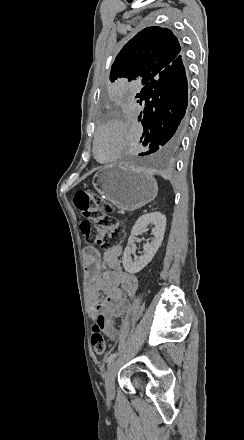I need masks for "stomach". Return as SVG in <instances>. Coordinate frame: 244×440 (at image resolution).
Segmentation results:
<instances>
[{"mask_svg": "<svg viewBox=\"0 0 244 440\" xmlns=\"http://www.w3.org/2000/svg\"><path fill=\"white\" fill-rule=\"evenodd\" d=\"M92 186L101 198L127 212L146 206L158 194L157 182L147 170H133L119 164L103 166L94 174Z\"/></svg>", "mask_w": 244, "mask_h": 440, "instance_id": "obj_1", "label": "stomach"}]
</instances>
